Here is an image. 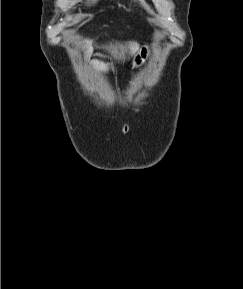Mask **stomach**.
Listing matches in <instances>:
<instances>
[{
  "label": "stomach",
  "instance_id": "stomach-1",
  "mask_svg": "<svg viewBox=\"0 0 243 289\" xmlns=\"http://www.w3.org/2000/svg\"><path fill=\"white\" fill-rule=\"evenodd\" d=\"M150 47L148 45L142 46L134 56L133 67L137 68L142 66L150 56Z\"/></svg>",
  "mask_w": 243,
  "mask_h": 289
}]
</instances>
